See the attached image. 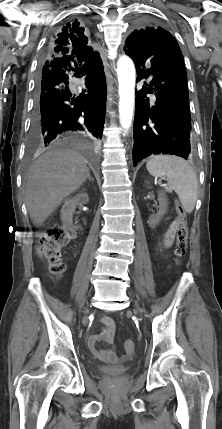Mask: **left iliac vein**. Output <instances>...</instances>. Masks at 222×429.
Masks as SVG:
<instances>
[{
	"mask_svg": "<svg viewBox=\"0 0 222 429\" xmlns=\"http://www.w3.org/2000/svg\"><path fill=\"white\" fill-rule=\"evenodd\" d=\"M135 305H136L137 310L140 312V308H139L138 304L136 303Z\"/></svg>",
	"mask_w": 222,
	"mask_h": 429,
	"instance_id": "obj_1",
	"label": "left iliac vein"
}]
</instances>
